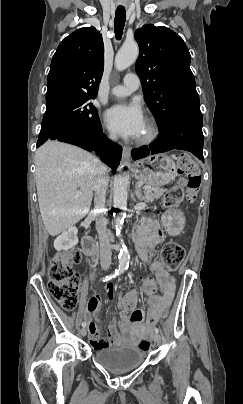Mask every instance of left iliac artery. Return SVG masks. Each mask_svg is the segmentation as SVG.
<instances>
[{
	"label": "left iliac artery",
	"mask_w": 243,
	"mask_h": 404,
	"mask_svg": "<svg viewBox=\"0 0 243 404\" xmlns=\"http://www.w3.org/2000/svg\"><path fill=\"white\" fill-rule=\"evenodd\" d=\"M155 332H156V333H159V329H158V328H155Z\"/></svg>",
	"instance_id": "left-iliac-artery-1"
}]
</instances>
